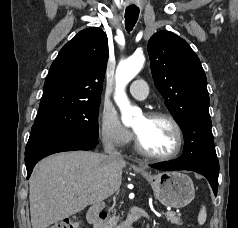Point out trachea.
Wrapping results in <instances>:
<instances>
[{"instance_id":"trachea-1","label":"trachea","mask_w":238,"mask_h":228,"mask_svg":"<svg viewBox=\"0 0 238 228\" xmlns=\"http://www.w3.org/2000/svg\"><path fill=\"white\" fill-rule=\"evenodd\" d=\"M139 16V10L126 9L125 11V25L126 30L131 31L136 24Z\"/></svg>"}]
</instances>
